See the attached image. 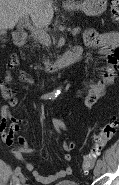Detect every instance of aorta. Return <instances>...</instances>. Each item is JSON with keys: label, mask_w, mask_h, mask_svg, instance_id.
I'll return each instance as SVG.
<instances>
[{"label": "aorta", "mask_w": 119, "mask_h": 185, "mask_svg": "<svg viewBox=\"0 0 119 185\" xmlns=\"http://www.w3.org/2000/svg\"><path fill=\"white\" fill-rule=\"evenodd\" d=\"M60 92V89L56 90V93H59Z\"/></svg>", "instance_id": "1"}]
</instances>
